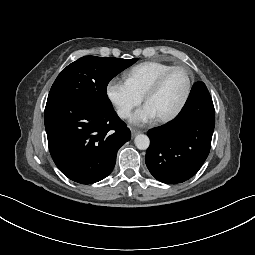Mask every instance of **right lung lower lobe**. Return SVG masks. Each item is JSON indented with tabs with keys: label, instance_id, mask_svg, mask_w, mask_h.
<instances>
[{
	"label": "right lung lower lobe",
	"instance_id": "98d812e1",
	"mask_svg": "<svg viewBox=\"0 0 255 255\" xmlns=\"http://www.w3.org/2000/svg\"><path fill=\"white\" fill-rule=\"evenodd\" d=\"M50 154L69 179L92 184L113 170L119 148L131 133L117 114L69 96L47 99L44 113Z\"/></svg>",
	"mask_w": 255,
	"mask_h": 255
}]
</instances>
